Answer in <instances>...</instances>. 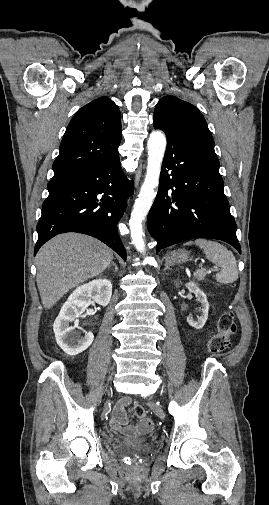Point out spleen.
<instances>
[{
	"mask_svg": "<svg viewBox=\"0 0 269 505\" xmlns=\"http://www.w3.org/2000/svg\"><path fill=\"white\" fill-rule=\"evenodd\" d=\"M197 245L203 250L206 258L221 267V271L216 274L217 282L221 284L233 283L238 279V268L236 258L224 245L203 238L188 241L184 245Z\"/></svg>",
	"mask_w": 269,
	"mask_h": 505,
	"instance_id": "1",
	"label": "spleen"
}]
</instances>
